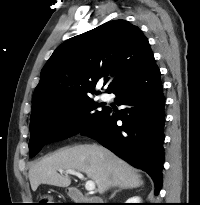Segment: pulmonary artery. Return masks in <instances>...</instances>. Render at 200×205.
I'll return each instance as SVG.
<instances>
[{
	"mask_svg": "<svg viewBox=\"0 0 200 205\" xmlns=\"http://www.w3.org/2000/svg\"><path fill=\"white\" fill-rule=\"evenodd\" d=\"M101 98H102L103 100H107V99H108V95H107L106 93H102V94H101Z\"/></svg>",
	"mask_w": 200,
	"mask_h": 205,
	"instance_id": "pulmonary-artery-1",
	"label": "pulmonary artery"
}]
</instances>
